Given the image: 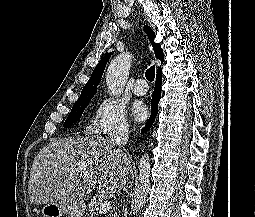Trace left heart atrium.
Listing matches in <instances>:
<instances>
[{"mask_svg":"<svg viewBox=\"0 0 255 217\" xmlns=\"http://www.w3.org/2000/svg\"><path fill=\"white\" fill-rule=\"evenodd\" d=\"M131 111L136 121H143L148 114L147 107L142 102L134 103Z\"/></svg>","mask_w":255,"mask_h":217,"instance_id":"1","label":"left heart atrium"}]
</instances>
